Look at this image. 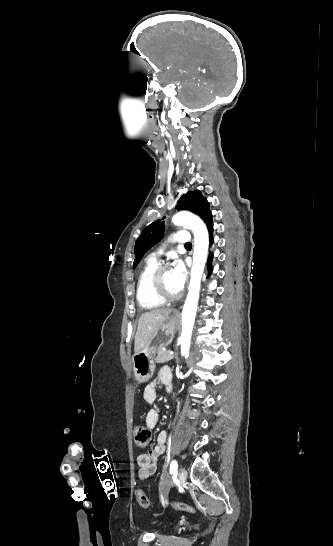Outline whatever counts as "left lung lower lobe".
I'll return each mask as SVG.
<instances>
[{
  "mask_svg": "<svg viewBox=\"0 0 333 546\" xmlns=\"http://www.w3.org/2000/svg\"><path fill=\"white\" fill-rule=\"evenodd\" d=\"M205 224H206V228H207L208 233H209V242H210V245H212L214 243L212 216L205 222ZM212 258H213V255L209 254V256H208V271H209V274H211V272H212V268H211V265H210V263L212 261Z\"/></svg>",
  "mask_w": 333,
  "mask_h": 546,
  "instance_id": "0a47b994",
  "label": "left lung lower lobe"
}]
</instances>
